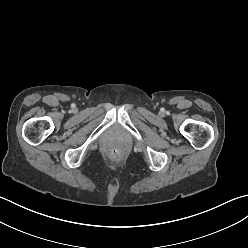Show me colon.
<instances>
[{
    "label": "colon",
    "mask_w": 248,
    "mask_h": 248,
    "mask_svg": "<svg viewBox=\"0 0 248 248\" xmlns=\"http://www.w3.org/2000/svg\"><path fill=\"white\" fill-rule=\"evenodd\" d=\"M112 154H113V155H118V151L114 149V150L112 151Z\"/></svg>",
    "instance_id": "colon-1"
}]
</instances>
